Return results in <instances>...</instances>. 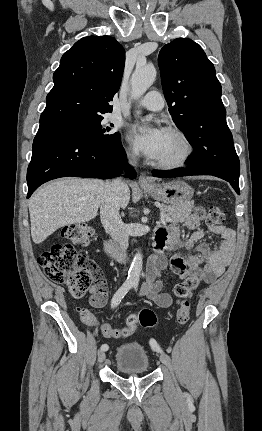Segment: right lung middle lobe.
<instances>
[{
    "instance_id": "1",
    "label": "right lung middle lobe",
    "mask_w": 262,
    "mask_h": 431,
    "mask_svg": "<svg viewBox=\"0 0 262 431\" xmlns=\"http://www.w3.org/2000/svg\"><path fill=\"white\" fill-rule=\"evenodd\" d=\"M103 116L73 119L66 122L45 126L46 128L64 130L95 142L113 143L120 140L118 132L111 133L110 127H103ZM111 126H113L111 124Z\"/></svg>"
}]
</instances>
